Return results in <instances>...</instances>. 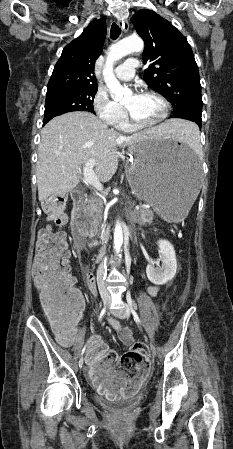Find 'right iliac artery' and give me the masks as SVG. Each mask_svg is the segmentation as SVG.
I'll return each instance as SVG.
<instances>
[{
    "label": "right iliac artery",
    "instance_id": "obj_1",
    "mask_svg": "<svg viewBox=\"0 0 233 449\" xmlns=\"http://www.w3.org/2000/svg\"><path fill=\"white\" fill-rule=\"evenodd\" d=\"M105 312H106V308H103V310H102L101 313H100L99 319L102 318V316L105 314ZM84 350H85V347H84L83 350H82V354H83Z\"/></svg>",
    "mask_w": 233,
    "mask_h": 449
}]
</instances>
